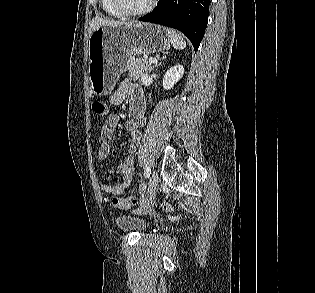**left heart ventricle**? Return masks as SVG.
I'll return each mask as SVG.
<instances>
[{"mask_svg": "<svg viewBox=\"0 0 315 293\" xmlns=\"http://www.w3.org/2000/svg\"><path fill=\"white\" fill-rule=\"evenodd\" d=\"M126 6L131 10H140L148 5L150 0H124Z\"/></svg>", "mask_w": 315, "mask_h": 293, "instance_id": "1", "label": "left heart ventricle"}]
</instances>
